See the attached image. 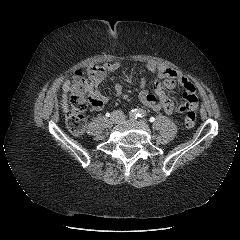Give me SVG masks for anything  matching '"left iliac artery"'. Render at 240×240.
Returning <instances> with one entry per match:
<instances>
[{
    "mask_svg": "<svg viewBox=\"0 0 240 240\" xmlns=\"http://www.w3.org/2000/svg\"><path fill=\"white\" fill-rule=\"evenodd\" d=\"M137 116L140 118H144L146 116V112L144 110L139 109L137 112Z\"/></svg>",
    "mask_w": 240,
    "mask_h": 240,
    "instance_id": "obj_1",
    "label": "left iliac artery"
}]
</instances>
